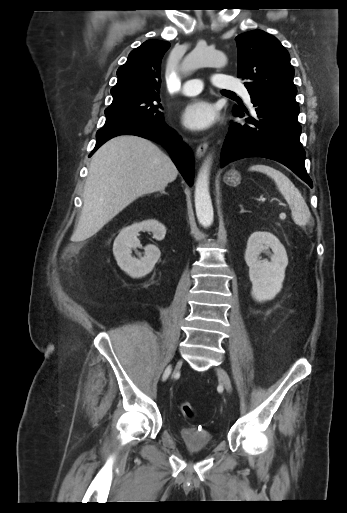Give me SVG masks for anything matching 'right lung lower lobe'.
Returning a JSON list of instances; mask_svg holds the SVG:
<instances>
[{
	"instance_id": "98d812e1",
	"label": "right lung lower lobe",
	"mask_w": 347,
	"mask_h": 513,
	"mask_svg": "<svg viewBox=\"0 0 347 513\" xmlns=\"http://www.w3.org/2000/svg\"><path fill=\"white\" fill-rule=\"evenodd\" d=\"M137 135L161 143L168 149L172 160L178 170L192 186L194 178V164L192 153L176 133L164 122H150L139 118H125L105 125L97 131L96 145L90 156L107 140L118 135Z\"/></svg>"
}]
</instances>
